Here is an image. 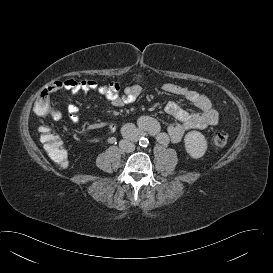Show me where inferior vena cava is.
Returning a JSON list of instances; mask_svg holds the SVG:
<instances>
[{"instance_id":"602c4592","label":"inferior vena cava","mask_w":273,"mask_h":273,"mask_svg":"<svg viewBox=\"0 0 273 273\" xmlns=\"http://www.w3.org/2000/svg\"><path fill=\"white\" fill-rule=\"evenodd\" d=\"M120 147L127 152L133 151V149H134V145L130 142H127V141H121Z\"/></svg>"}]
</instances>
